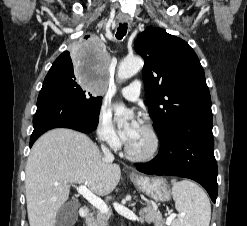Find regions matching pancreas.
I'll return each instance as SVG.
<instances>
[{"instance_id": "cf45deb5", "label": "pancreas", "mask_w": 247, "mask_h": 226, "mask_svg": "<svg viewBox=\"0 0 247 226\" xmlns=\"http://www.w3.org/2000/svg\"><path fill=\"white\" fill-rule=\"evenodd\" d=\"M108 220H109L108 215L101 213V212H96L94 214H91L88 217L86 224H87V226H108ZM159 220L160 219H159L158 213L155 212L151 207L144 208L140 212V221L141 222H144V221L157 222Z\"/></svg>"}]
</instances>
